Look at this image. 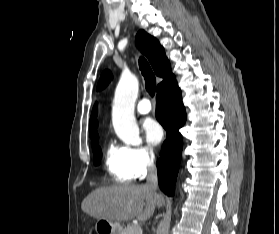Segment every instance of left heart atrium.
I'll return each mask as SVG.
<instances>
[{
    "instance_id": "39dd6f15",
    "label": "left heart atrium",
    "mask_w": 279,
    "mask_h": 234,
    "mask_svg": "<svg viewBox=\"0 0 279 234\" xmlns=\"http://www.w3.org/2000/svg\"><path fill=\"white\" fill-rule=\"evenodd\" d=\"M143 129L148 141L154 145L159 144L164 136L162 126L154 119L147 118L143 122Z\"/></svg>"
}]
</instances>
